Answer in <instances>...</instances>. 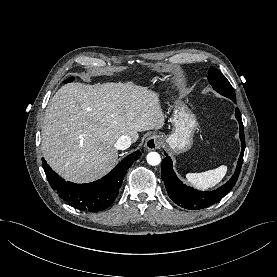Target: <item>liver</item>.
<instances>
[{"mask_svg": "<svg viewBox=\"0 0 277 277\" xmlns=\"http://www.w3.org/2000/svg\"><path fill=\"white\" fill-rule=\"evenodd\" d=\"M165 124L159 95L131 83H68L48 103L43 156L65 180L95 181L118 159L115 143L123 135L136 142L138 132Z\"/></svg>", "mask_w": 277, "mask_h": 277, "instance_id": "6515ba94", "label": "liver"}]
</instances>
